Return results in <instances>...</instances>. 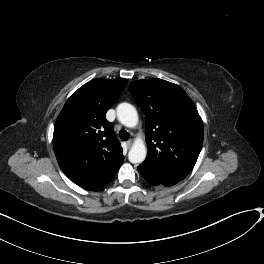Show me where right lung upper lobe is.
I'll use <instances>...</instances> for the list:
<instances>
[{
	"instance_id": "1",
	"label": "right lung upper lobe",
	"mask_w": 264,
	"mask_h": 264,
	"mask_svg": "<svg viewBox=\"0 0 264 264\" xmlns=\"http://www.w3.org/2000/svg\"><path fill=\"white\" fill-rule=\"evenodd\" d=\"M127 79H94L65 103L57 117L53 147L59 166L75 184L96 190L109 183L124 156L106 112Z\"/></svg>"
}]
</instances>
